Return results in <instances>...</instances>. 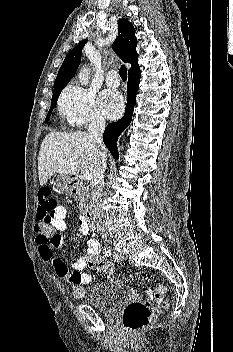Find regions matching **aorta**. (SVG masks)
<instances>
[{"label":"aorta","instance_id":"1","mask_svg":"<svg viewBox=\"0 0 233 352\" xmlns=\"http://www.w3.org/2000/svg\"><path fill=\"white\" fill-rule=\"evenodd\" d=\"M90 69L87 66H83L78 73L79 82L81 85H88L89 83Z\"/></svg>","mask_w":233,"mask_h":352}]
</instances>
